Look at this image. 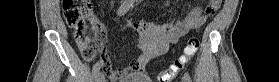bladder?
<instances>
[{"label": "bladder", "mask_w": 279, "mask_h": 82, "mask_svg": "<svg viewBox=\"0 0 279 82\" xmlns=\"http://www.w3.org/2000/svg\"><path fill=\"white\" fill-rule=\"evenodd\" d=\"M115 82H152L146 72H132Z\"/></svg>", "instance_id": "31cf9c89"}]
</instances>
